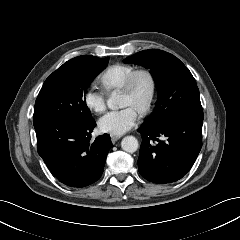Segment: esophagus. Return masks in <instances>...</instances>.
Returning a JSON list of instances; mask_svg holds the SVG:
<instances>
[{"mask_svg":"<svg viewBox=\"0 0 240 240\" xmlns=\"http://www.w3.org/2000/svg\"><path fill=\"white\" fill-rule=\"evenodd\" d=\"M119 138H120V136L111 135V141H112V143H115Z\"/></svg>","mask_w":240,"mask_h":240,"instance_id":"obj_1","label":"esophagus"}]
</instances>
